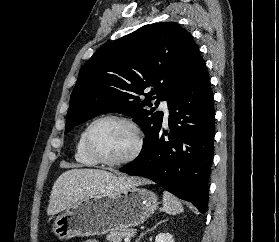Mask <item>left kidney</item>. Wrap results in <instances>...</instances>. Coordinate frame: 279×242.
Masks as SVG:
<instances>
[{
    "mask_svg": "<svg viewBox=\"0 0 279 242\" xmlns=\"http://www.w3.org/2000/svg\"><path fill=\"white\" fill-rule=\"evenodd\" d=\"M155 242H174L173 236L170 233H159Z\"/></svg>",
    "mask_w": 279,
    "mask_h": 242,
    "instance_id": "obj_1",
    "label": "left kidney"
}]
</instances>
